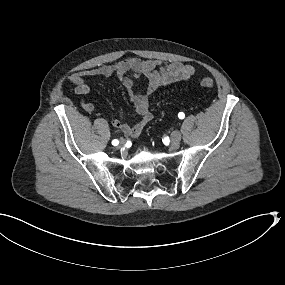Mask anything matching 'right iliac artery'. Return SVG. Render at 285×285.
I'll return each mask as SVG.
<instances>
[{
  "instance_id": "obj_1",
  "label": "right iliac artery",
  "mask_w": 285,
  "mask_h": 285,
  "mask_svg": "<svg viewBox=\"0 0 285 285\" xmlns=\"http://www.w3.org/2000/svg\"><path fill=\"white\" fill-rule=\"evenodd\" d=\"M119 144V141L117 139H114L112 141V145L117 146Z\"/></svg>"
}]
</instances>
